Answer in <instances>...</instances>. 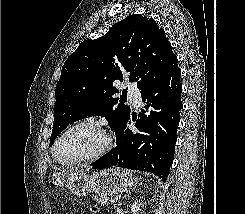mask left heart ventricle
<instances>
[{
	"instance_id": "left-heart-ventricle-1",
	"label": "left heart ventricle",
	"mask_w": 245,
	"mask_h": 214,
	"mask_svg": "<svg viewBox=\"0 0 245 214\" xmlns=\"http://www.w3.org/2000/svg\"><path fill=\"white\" fill-rule=\"evenodd\" d=\"M102 144L103 138L98 131L90 127H80L61 139L56 153L61 160H73L93 154Z\"/></svg>"
}]
</instances>
